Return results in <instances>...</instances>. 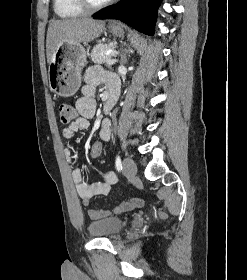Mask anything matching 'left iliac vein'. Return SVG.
Listing matches in <instances>:
<instances>
[{"label":"left iliac vein","mask_w":247,"mask_h":280,"mask_svg":"<svg viewBox=\"0 0 247 280\" xmlns=\"http://www.w3.org/2000/svg\"><path fill=\"white\" fill-rule=\"evenodd\" d=\"M123 173L127 177H134L137 173L136 163L131 158H125L123 161Z\"/></svg>","instance_id":"obj_1"}]
</instances>
